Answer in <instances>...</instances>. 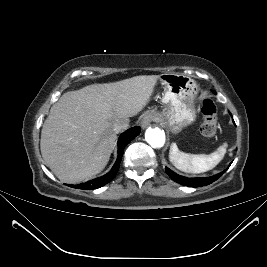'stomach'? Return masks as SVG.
Returning <instances> with one entry per match:
<instances>
[{
  "label": "stomach",
  "mask_w": 267,
  "mask_h": 267,
  "mask_svg": "<svg viewBox=\"0 0 267 267\" xmlns=\"http://www.w3.org/2000/svg\"><path fill=\"white\" fill-rule=\"evenodd\" d=\"M160 81L164 85L162 102L170 104L169 125L173 132H178L196 119V111L193 106L196 84L190 77L175 73L160 76ZM162 116V114L154 112L156 120L161 119Z\"/></svg>",
  "instance_id": "0dacf381"
}]
</instances>
